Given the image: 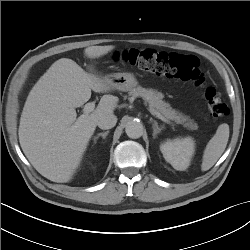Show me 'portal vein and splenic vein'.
Returning a JSON list of instances; mask_svg holds the SVG:
<instances>
[{"label": "portal vein and splenic vein", "mask_w": 250, "mask_h": 250, "mask_svg": "<svg viewBox=\"0 0 250 250\" xmlns=\"http://www.w3.org/2000/svg\"><path fill=\"white\" fill-rule=\"evenodd\" d=\"M95 109V103L94 102H88L87 104H85L84 109H83V113L85 115L90 114L91 112H93ZM151 113L153 115H155L158 119H161L162 121L166 122V123H170L165 117H163L159 112H156L154 110H150Z\"/></svg>", "instance_id": "obj_1"}]
</instances>
